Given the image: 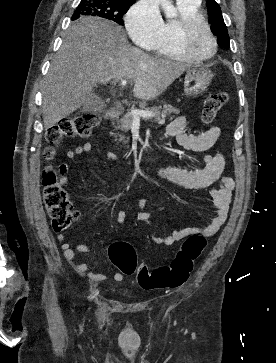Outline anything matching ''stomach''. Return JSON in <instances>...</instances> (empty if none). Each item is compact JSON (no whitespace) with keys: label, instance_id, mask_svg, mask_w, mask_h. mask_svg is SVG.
<instances>
[{"label":"stomach","instance_id":"0dacf381","mask_svg":"<svg viewBox=\"0 0 276 363\" xmlns=\"http://www.w3.org/2000/svg\"><path fill=\"white\" fill-rule=\"evenodd\" d=\"M212 73L207 68H190L184 79V92L188 97L203 94L212 81Z\"/></svg>","mask_w":276,"mask_h":363}]
</instances>
